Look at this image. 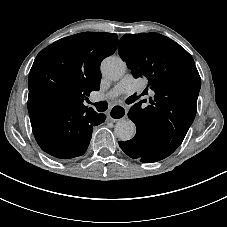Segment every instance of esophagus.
<instances>
[{
	"label": "esophagus",
	"mask_w": 227,
	"mask_h": 227,
	"mask_svg": "<svg viewBox=\"0 0 227 227\" xmlns=\"http://www.w3.org/2000/svg\"><path fill=\"white\" fill-rule=\"evenodd\" d=\"M127 115V109L123 105L115 104L108 111V118L113 121L122 120Z\"/></svg>",
	"instance_id": "esophagus-1"
}]
</instances>
